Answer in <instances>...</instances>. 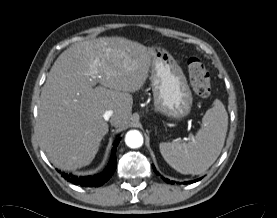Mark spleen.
Listing matches in <instances>:
<instances>
[{
  "instance_id": "1",
  "label": "spleen",
  "mask_w": 277,
  "mask_h": 218,
  "mask_svg": "<svg viewBox=\"0 0 277 218\" xmlns=\"http://www.w3.org/2000/svg\"><path fill=\"white\" fill-rule=\"evenodd\" d=\"M202 127L189 142H161L160 153L165 161L182 174L204 173L218 158L224 146L228 114L216 99L202 118Z\"/></svg>"
}]
</instances>
